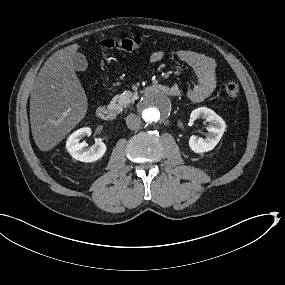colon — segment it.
Wrapping results in <instances>:
<instances>
[{"label":"colon","mask_w":285,"mask_h":285,"mask_svg":"<svg viewBox=\"0 0 285 285\" xmlns=\"http://www.w3.org/2000/svg\"><path fill=\"white\" fill-rule=\"evenodd\" d=\"M100 45L105 49L119 50V51H133L141 47L142 39L139 36L121 39H104ZM225 95L234 99L239 94V84L235 81H230L225 84Z\"/></svg>","instance_id":"1"}]
</instances>
